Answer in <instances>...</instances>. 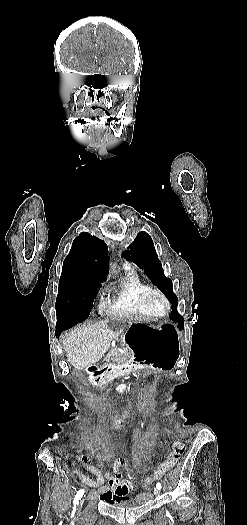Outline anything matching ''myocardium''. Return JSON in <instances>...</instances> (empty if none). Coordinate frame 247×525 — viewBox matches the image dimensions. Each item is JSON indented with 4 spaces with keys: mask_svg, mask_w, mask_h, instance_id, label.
Listing matches in <instances>:
<instances>
[{
    "mask_svg": "<svg viewBox=\"0 0 247 525\" xmlns=\"http://www.w3.org/2000/svg\"><path fill=\"white\" fill-rule=\"evenodd\" d=\"M139 293L145 300H147L151 294H157L158 296L161 297V299L163 300L165 304V307L162 311H155L147 303L145 305V309L150 317L159 319V318L165 317L169 313L171 309V303L168 297L165 295V293L158 286L144 284L140 287Z\"/></svg>",
    "mask_w": 247,
    "mask_h": 525,
    "instance_id": "myocardium-1",
    "label": "myocardium"
}]
</instances>
